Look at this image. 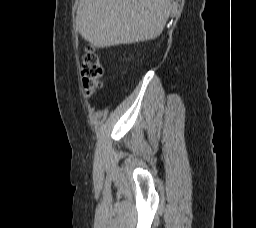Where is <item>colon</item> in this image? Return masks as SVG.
Segmentation results:
<instances>
[{"mask_svg":"<svg viewBox=\"0 0 256 228\" xmlns=\"http://www.w3.org/2000/svg\"><path fill=\"white\" fill-rule=\"evenodd\" d=\"M103 67L98 56L88 48L82 58L83 85L87 95H92L100 87Z\"/></svg>","mask_w":256,"mask_h":228,"instance_id":"5ec220e1","label":"colon"}]
</instances>
